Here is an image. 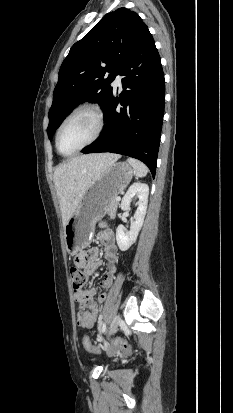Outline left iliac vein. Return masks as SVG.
Here are the masks:
<instances>
[{"mask_svg": "<svg viewBox=\"0 0 233 413\" xmlns=\"http://www.w3.org/2000/svg\"><path fill=\"white\" fill-rule=\"evenodd\" d=\"M120 322H121V317H120V315H116V316L113 318L112 322H111V325H110V328H109V332H108V335H109V336L113 335V334L117 331Z\"/></svg>", "mask_w": 233, "mask_h": 413, "instance_id": "obj_1", "label": "left iliac vein"}]
</instances>
